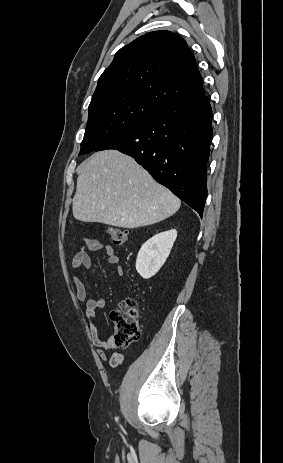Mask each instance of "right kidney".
Returning <instances> with one entry per match:
<instances>
[{
    "instance_id": "1",
    "label": "right kidney",
    "mask_w": 283,
    "mask_h": 463,
    "mask_svg": "<svg viewBox=\"0 0 283 463\" xmlns=\"http://www.w3.org/2000/svg\"><path fill=\"white\" fill-rule=\"evenodd\" d=\"M176 238L177 231L172 229L153 236L142 245L136 259V270L142 278L149 279L160 270Z\"/></svg>"
}]
</instances>
